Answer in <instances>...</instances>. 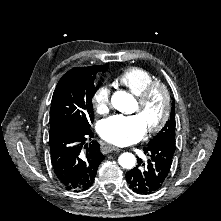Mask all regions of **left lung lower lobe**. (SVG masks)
Wrapping results in <instances>:
<instances>
[{
  "label": "left lung lower lobe",
  "instance_id": "left-lung-lower-lobe-1",
  "mask_svg": "<svg viewBox=\"0 0 221 221\" xmlns=\"http://www.w3.org/2000/svg\"><path fill=\"white\" fill-rule=\"evenodd\" d=\"M144 152L150 156L147 164L138 160V165L126 173L129 187L138 194L158 191L166 182L175 152V143L164 140L149 145Z\"/></svg>",
  "mask_w": 221,
  "mask_h": 221
}]
</instances>
